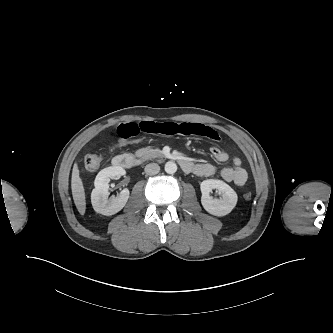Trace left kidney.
<instances>
[{
    "label": "left kidney",
    "instance_id": "left-kidney-1",
    "mask_svg": "<svg viewBox=\"0 0 333 333\" xmlns=\"http://www.w3.org/2000/svg\"><path fill=\"white\" fill-rule=\"evenodd\" d=\"M200 189L202 192L201 204L203 208L210 214L214 216H225L229 214L237 203L236 192L225 182L217 179H207L204 180ZM212 189H217L222 193L221 198H213L210 195Z\"/></svg>",
    "mask_w": 333,
    "mask_h": 333
}]
</instances>
